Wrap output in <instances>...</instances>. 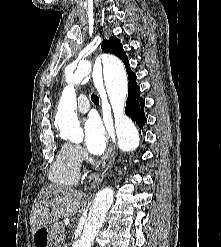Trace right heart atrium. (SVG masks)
<instances>
[{"instance_id":"right-heart-atrium-1","label":"right heart atrium","mask_w":221,"mask_h":247,"mask_svg":"<svg viewBox=\"0 0 221 247\" xmlns=\"http://www.w3.org/2000/svg\"><path fill=\"white\" fill-rule=\"evenodd\" d=\"M73 154L75 162L79 168L86 164L87 157L79 146H73Z\"/></svg>"}]
</instances>
